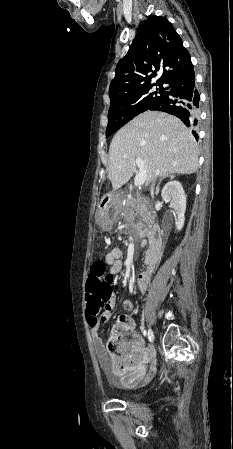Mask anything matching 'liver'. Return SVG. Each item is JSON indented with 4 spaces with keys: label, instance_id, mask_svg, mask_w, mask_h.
Segmentation results:
<instances>
[{
    "label": "liver",
    "instance_id": "1",
    "mask_svg": "<svg viewBox=\"0 0 233 449\" xmlns=\"http://www.w3.org/2000/svg\"><path fill=\"white\" fill-rule=\"evenodd\" d=\"M198 146L184 123L158 111L141 113L122 127L109 148L108 178L113 190L127 183L136 158L145 163L148 185L157 175L191 174L198 168Z\"/></svg>",
    "mask_w": 233,
    "mask_h": 449
}]
</instances>
